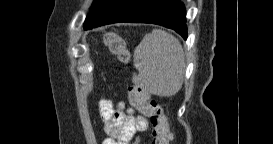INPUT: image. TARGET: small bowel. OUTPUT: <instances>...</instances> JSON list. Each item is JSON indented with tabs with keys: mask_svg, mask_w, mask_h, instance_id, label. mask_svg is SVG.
<instances>
[{
	"mask_svg": "<svg viewBox=\"0 0 273 144\" xmlns=\"http://www.w3.org/2000/svg\"><path fill=\"white\" fill-rule=\"evenodd\" d=\"M99 113L106 133L113 138L108 139V144H129L133 139L148 129V120L141 115H135L131 106L121 102L115 108L107 99L99 101Z\"/></svg>",
	"mask_w": 273,
	"mask_h": 144,
	"instance_id": "c3829d8e",
	"label": "small bowel"
}]
</instances>
